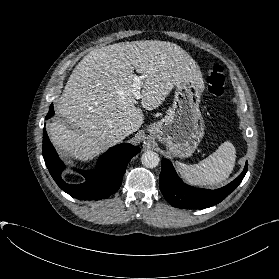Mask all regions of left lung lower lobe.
<instances>
[{
	"instance_id": "1",
	"label": "left lung lower lobe",
	"mask_w": 279,
	"mask_h": 279,
	"mask_svg": "<svg viewBox=\"0 0 279 279\" xmlns=\"http://www.w3.org/2000/svg\"><path fill=\"white\" fill-rule=\"evenodd\" d=\"M247 168L246 163L243 172L228 185L216 190H207L183 183L171 162L163 158L159 185L163 196L172 206L180 209H205L220 203L233 192L243 180Z\"/></svg>"
}]
</instances>
